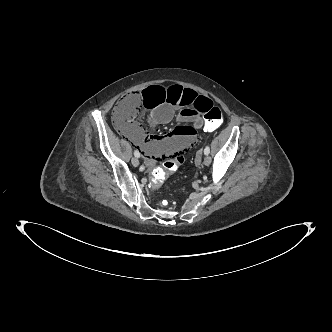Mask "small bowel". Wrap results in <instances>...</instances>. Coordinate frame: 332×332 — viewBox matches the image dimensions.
<instances>
[{
	"mask_svg": "<svg viewBox=\"0 0 332 332\" xmlns=\"http://www.w3.org/2000/svg\"><path fill=\"white\" fill-rule=\"evenodd\" d=\"M141 102L149 112L151 126L170 122L175 110H179L177 118L181 122L172 132L162 135L147 134L135 123L128 126L115 123L118 131L143 152L145 162L149 166L165 158L175 160L181 157L186 149L192 147L198 139L197 129L203 128L204 121L201 115L213 105L210 98L177 84L167 88L161 84L149 85L142 92Z\"/></svg>",
	"mask_w": 332,
	"mask_h": 332,
	"instance_id": "small-bowel-1",
	"label": "small bowel"
}]
</instances>
